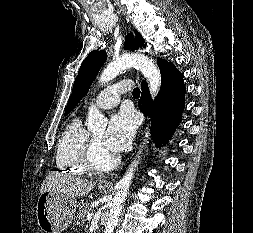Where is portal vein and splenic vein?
<instances>
[{
  "label": "portal vein and splenic vein",
  "mask_w": 253,
  "mask_h": 233,
  "mask_svg": "<svg viewBox=\"0 0 253 233\" xmlns=\"http://www.w3.org/2000/svg\"><path fill=\"white\" fill-rule=\"evenodd\" d=\"M87 220H92V214L91 213H89V214H87Z\"/></svg>",
  "instance_id": "18ae733b"
}]
</instances>
